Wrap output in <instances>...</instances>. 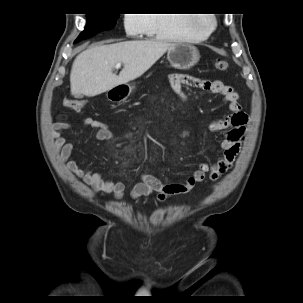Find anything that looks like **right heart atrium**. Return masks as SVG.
<instances>
[{"instance_id":"d8ad5b80","label":"right heart atrium","mask_w":303,"mask_h":303,"mask_svg":"<svg viewBox=\"0 0 303 303\" xmlns=\"http://www.w3.org/2000/svg\"><path fill=\"white\" fill-rule=\"evenodd\" d=\"M124 19V26L126 31L132 35L136 36L145 32L147 27L146 14H126Z\"/></svg>"}]
</instances>
